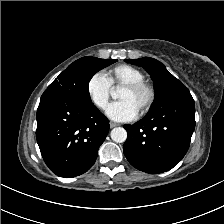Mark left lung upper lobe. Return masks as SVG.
Instances as JSON below:
<instances>
[{"label": "left lung upper lobe", "mask_w": 224, "mask_h": 224, "mask_svg": "<svg viewBox=\"0 0 224 224\" xmlns=\"http://www.w3.org/2000/svg\"><path fill=\"white\" fill-rule=\"evenodd\" d=\"M125 61L146 69L154 81L155 99L149 112L157 111L174 100L191 95L189 90L169 73L158 60L143 57L140 59H126Z\"/></svg>", "instance_id": "left-lung-upper-lobe-1"}]
</instances>
